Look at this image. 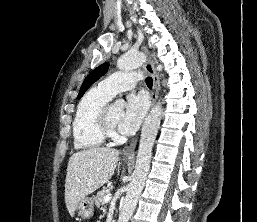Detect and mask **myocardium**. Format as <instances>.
<instances>
[{
    "label": "myocardium",
    "instance_id": "myocardium-1",
    "mask_svg": "<svg viewBox=\"0 0 257 222\" xmlns=\"http://www.w3.org/2000/svg\"><path fill=\"white\" fill-rule=\"evenodd\" d=\"M110 108L111 105L107 104L105 108L102 110L100 119H99V126L102 134L105 137H117V129L116 127L110 122Z\"/></svg>",
    "mask_w": 257,
    "mask_h": 222
}]
</instances>
